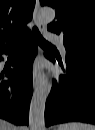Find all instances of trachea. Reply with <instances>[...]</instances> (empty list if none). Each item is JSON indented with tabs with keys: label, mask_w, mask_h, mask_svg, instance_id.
<instances>
[{
	"label": "trachea",
	"mask_w": 95,
	"mask_h": 130,
	"mask_svg": "<svg viewBox=\"0 0 95 130\" xmlns=\"http://www.w3.org/2000/svg\"><path fill=\"white\" fill-rule=\"evenodd\" d=\"M32 32H33V36L36 40V42L42 46V47H50V48H55L51 43H49L48 41H46L41 33L39 32L38 28L37 27H33L32 29Z\"/></svg>",
	"instance_id": "obj_1"
}]
</instances>
